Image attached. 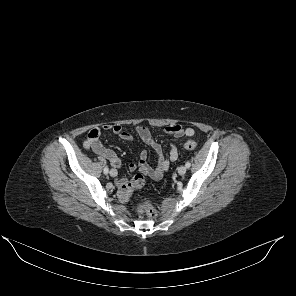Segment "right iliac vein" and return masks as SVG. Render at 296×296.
<instances>
[{"label": "right iliac vein", "instance_id": "right-iliac-vein-1", "mask_svg": "<svg viewBox=\"0 0 296 296\" xmlns=\"http://www.w3.org/2000/svg\"><path fill=\"white\" fill-rule=\"evenodd\" d=\"M110 176H112V177H116V176H117V170H115V169H111V170H110Z\"/></svg>", "mask_w": 296, "mask_h": 296}]
</instances>
